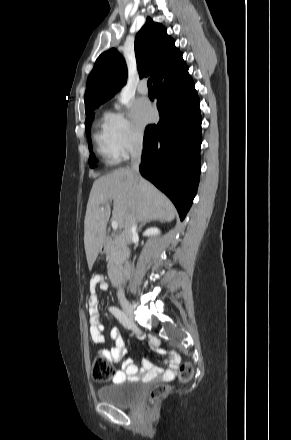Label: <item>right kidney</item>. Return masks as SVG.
<instances>
[{
  "label": "right kidney",
  "mask_w": 291,
  "mask_h": 440,
  "mask_svg": "<svg viewBox=\"0 0 291 440\" xmlns=\"http://www.w3.org/2000/svg\"><path fill=\"white\" fill-rule=\"evenodd\" d=\"M160 233L159 229L156 227H151L146 229V231L143 233V236H155L158 235Z\"/></svg>",
  "instance_id": "right-kidney-1"
}]
</instances>
